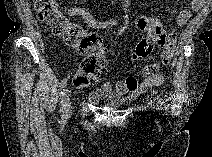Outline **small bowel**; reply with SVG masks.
<instances>
[{
    "label": "small bowel",
    "mask_w": 212,
    "mask_h": 157,
    "mask_svg": "<svg viewBox=\"0 0 212 157\" xmlns=\"http://www.w3.org/2000/svg\"><path fill=\"white\" fill-rule=\"evenodd\" d=\"M130 2L125 1L124 5L128 6ZM202 2L200 0H192L191 6L197 10L201 7ZM66 13L70 17H81L85 23L95 30H108L119 25V21L116 19H109L106 21H99L82 6H72L67 8ZM191 17L190 9H181L177 16L176 22L179 26H185ZM136 27L142 31L155 34H163L165 40L162 43V53L159 63H152L145 66L142 70V81H139L135 76H127L123 80H117L115 82H105L96 92L88 95V101L90 103H97L100 99L108 96H123L130 95L131 97H137L138 95L148 91L149 89L158 87L163 82V76L159 73V68L162 65H167L171 61L176 42V33H166L162 23L153 17L147 15H138L134 21Z\"/></svg>",
    "instance_id": "small-bowel-1"
}]
</instances>
